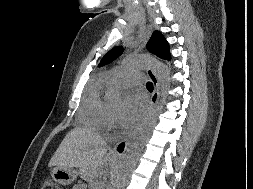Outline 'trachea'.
Wrapping results in <instances>:
<instances>
[{
  "label": "trachea",
  "instance_id": "obj_1",
  "mask_svg": "<svg viewBox=\"0 0 253 189\" xmlns=\"http://www.w3.org/2000/svg\"><path fill=\"white\" fill-rule=\"evenodd\" d=\"M146 88H147L149 91H153V84H152V82H147Z\"/></svg>",
  "mask_w": 253,
  "mask_h": 189
}]
</instances>
